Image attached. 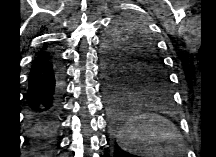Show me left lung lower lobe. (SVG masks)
I'll use <instances>...</instances> for the list:
<instances>
[{
	"label": "left lung lower lobe",
	"mask_w": 216,
	"mask_h": 157,
	"mask_svg": "<svg viewBox=\"0 0 216 157\" xmlns=\"http://www.w3.org/2000/svg\"><path fill=\"white\" fill-rule=\"evenodd\" d=\"M134 96L135 95L130 91L129 85L120 74L112 75L111 77L108 75L107 102L111 118L115 125L121 124L125 121L126 111L124 107L128 105L130 99Z\"/></svg>",
	"instance_id": "1"
}]
</instances>
